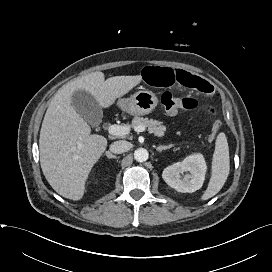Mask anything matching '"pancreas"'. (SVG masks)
I'll use <instances>...</instances> for the list:
<instances>
[{"label": "pancreas", "mask_w": 272, "mask_h": 272, "mask_svg": "<svg viewBox=\"0 0 272 272\" xmlns=\"http://www.w3.org/2000/svg\"><path fill=\"white\" fill-rule=\"evenodd\" d=\"M137 126H145L150 133H154L158 137L164 136L166 131L162 122L143 117H135L132 120V127L136 128Z\"/></svg>", "instance_id": "pancreas-1"}]
</instances>
